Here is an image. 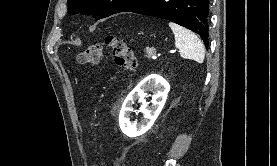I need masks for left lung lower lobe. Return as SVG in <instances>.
I'll use <instances>...</instances> for the list:
<instances>
[{
	"mask_svg": "<svg viewBox=\"0 0 277 166\" xmlns=\"http://www.w3.org/2000/svg\"><path fill=\"white\" fill-rule=\"evenodd\" d=\"M121 12H133L175 22L199 34L209 46V0H137Z\"/></svg>",
	"mask_w": 277,
	"mask_h": 166,
	"instance_id": "obj_1",
	"label": "left lung lower lobe"
}]
</instances>
